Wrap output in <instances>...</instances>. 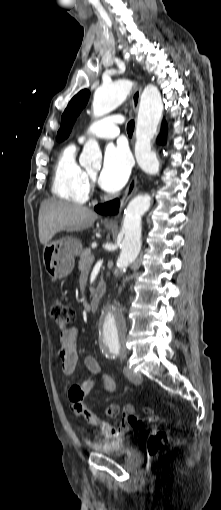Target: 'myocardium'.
<instances>
[{
  "label": "myocardium",
  "instance_id": "1",
  "mask_svg": "<svg viewBox=\"0 0 221 510\" xmlns=\"http://www.w3.org/2000/svg\"><path fill=\"white\" fill-rule=\"evenodd\" d=\"M88 181H89V187H94V184H95V177L88 174Z\"/></svg>",
  "mask_w": 221,
  "mask_h": 510
}]
</instances>
